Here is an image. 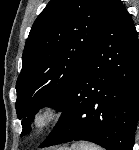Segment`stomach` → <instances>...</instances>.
I'll return each mask as SVG.
<instances>
[{"label": "stomach", "mask_w": 139, "mask_h": 150, "mask_svg": "<svg viewBox=\"0 0 139 150\" xmlns=\"http://www.w3.org/2000/svg\"><path fill=\"white\" fill-rule=\"evenodd\" d=\"M59 150H69L68 148H60Z\"/></svg>", "instance_id": "0dacf381"}]
</instances>
